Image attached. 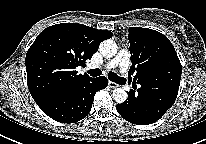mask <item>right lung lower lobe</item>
<instances>
[{
	"label": "right lung lower lobe",
	"mask_w": 206,
	"mask_h": 144,
	"mask_svg": "<svg viewBox=\"0 0 206 144\" xmlns=\"http://www.w3.org/2000/svg\"><path fill=\"white\" fill-rule=\"evenodd\" d=\"M107 85L108 79L104 76L91 78L76 89L50 97L38 106L56 121L78 122L89 114L95 93Z\"/></svg>",
	"instance_id": "obj_1"
}]
</instances>
